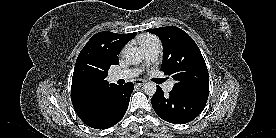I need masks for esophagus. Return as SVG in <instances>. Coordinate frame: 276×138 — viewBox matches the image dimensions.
<instances>
[{
	"label": "esophagus",
	"instance_id": "obj_1",
	"mask_svg": "<svg viewBox=\"0 0 276 138\" xmlns=\"http://www.w3.org/2000/svg\"><path fill=\"white\" fill-rule=\"evenodd\" d=\"M145 83H146V81L143 80V79H136V80H134V84H135V85H138V86H142V85H144Z\"/></svg>",
	"mask_w": 276,
	"mask_h": 138
}]
</instances>
